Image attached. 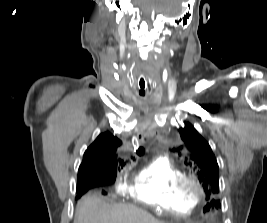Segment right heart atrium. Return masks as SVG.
Segmentation results:
<instances>
[{
    "label": "right heart atrium",
    "mask_w": 267,
    "mask_h": 223,
    "mask_svg": "<svg viewBox=\"0 0 267 223\" xmlns=\"http://www.w3.org/2000/svg\"><path fill=\"white\" fill-rule=\"evenodd\" d=\"M124 189H125V184L120 179H118L116 182V190L118 192H123Z\"/></svg>",
    "instance_id": "d8ad5b80"
}]
</instances>
